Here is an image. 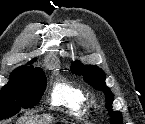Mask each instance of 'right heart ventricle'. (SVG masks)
Listing matches in <instances>:
<instances>
[{
	"instance_id": "1",
	"label": "right heart ventricle",
	"mask_w": 145,
	"mask_h": 124,
	"mask_svg": "<svg viewBox=\"0 0 145 124\" xmlns=\"http://www.w3.org/2000/svg\"><path fill=\"white\" fill-rule=\"evenodd\" d=\"M51 101L53 105L63 106L71 113L80 115L88 104L89 96L81 86L66 80H59L54 84Z\"/></svg>"
}]
</instances>
